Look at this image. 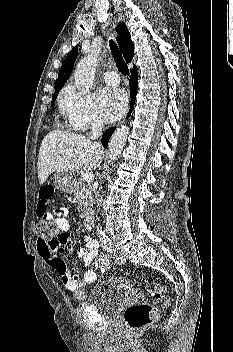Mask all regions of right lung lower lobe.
I'll use <instances>...</instances> for the list:
<instances>
[{
  "label": "right lung lower lobe",
  "mask_w": 233,
  "mask_h": 352,
  "mask_svg": "<svg viewBox=\"0 0 233 352\" xmlns=\"http://www.w3.org/2000/svg\"><path fill=\"white\" fill-rule=\"evenodd\" d=\"M137 79H138V74H137V68L131 70V76H130V95H131V104H130V111L127 115V117L130 116L132 109L134 107L135 103V98H136V92H137ZM116 127H112L108 129L107 131L104 132L101 143L105 148H107L109 139L111 138V135L115 131Z\"/></svg>",
  "instance_id": "98d812e1"
}]
</instances>
